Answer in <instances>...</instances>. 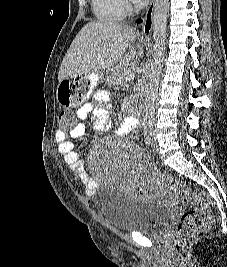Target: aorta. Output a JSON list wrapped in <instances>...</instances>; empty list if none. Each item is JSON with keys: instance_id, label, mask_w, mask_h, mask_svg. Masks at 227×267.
<instances>
[{"instance_id": "aorta-1", "label": "aorta", "mask_w": 227, "mask_h": 267, "mask_svg": "<svg viewBox=\"0 0 227 267\" xmlns=\"http://www.w3.org/2000/svg\"><path fill=\"white\" fill-rule=\"evenodd\" d=\"M169 2L168 0H155L153 12V41L154 55L152 67L149 72V83L143 112V124L153 126L154 105L157 98L159 78L164 60L166 25Z\"/></svg>"}]
</instances>
